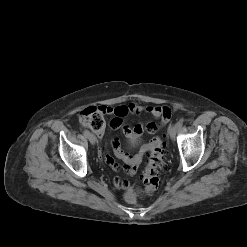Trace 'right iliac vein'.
Returning <instances> with one entry per match:
<instances>
[{
    "mask_svg": "<svg viewBox=\"0 0 247 247\" xmlns=\"http://www.w3.org/2000/svg\"><path fill=\"white\" fill-rule=\"evenodd\" d=\"M88 140L90 141V143L91 144H95L96 143V141H97V139H96V137H95V135L94 134H92V133H90L89 134V136H88Z\"/></svg>",
    "mask_w": 247,
    "mask_h": 247,
    "instance_id": "1",
    "label": "right iliac vein"
}]
</instances>
